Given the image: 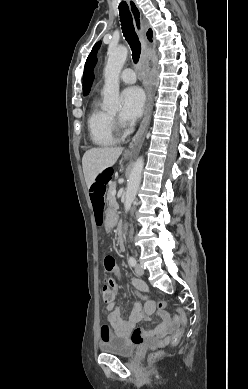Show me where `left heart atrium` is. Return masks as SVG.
I'll return each mask as SVG.
<instances>
[{"mask_svg":"<svg viewBox=\"0 0 248 389\" xmlns=\"http://www.w3.org/2000/svg\"><path fill=\"white\" fill-rule=\"evenodd\" d=\"M121 118L127 123L136 121L144 111L145 95L141 88L131 86L121 93Z\"/></svg>","mask_w":248,"mask_h":389,"instance_id":"39dd6f15","label":"left heart atrium"}]
</instances>
